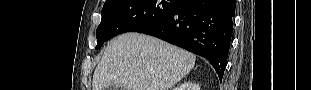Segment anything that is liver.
Returning a JSON list of instances; mask_svg holds the SVG:
<instances>
[{
    "label": "liver",
    "instance_id": "obj_1",
    "mask_svg": "<svg viewBox=\"0 0 311 90\" xmlns=\"http://www.w3.org/2000/svg\"><path fill=\"white\" fill-rule=\"evenodd\" d=\"M196 57L165 41L139 33L112 40L93 75L92 90H169L193 69Z\"/></svg>",
    "mask_w": 311,
    "mask_h": 90
}]
</instances>
